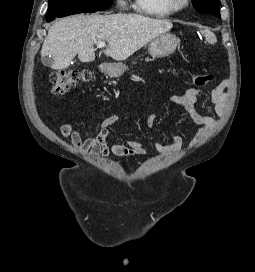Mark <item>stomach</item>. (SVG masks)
Listing matches in <instances>:
<instances>
[{"mask_svg": "<svg viewBox=\"0 0 255 272\" xmlns=\"http://www.w3.org/2000/svg\"><path fill=\"white\" fill-rule=\"evenodd\" d=\"M178 45V38L171 33H163L150 41L148 52L153 58H161L171 55ZM127 66L121 62L106 65V71L111 77H120L126 71Z\"/></svg>", "mask_w": 255, "mask_h": 272, "instance_id": "0dacf381", "label": "stomach"}]
</instances>
